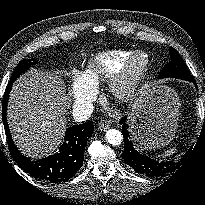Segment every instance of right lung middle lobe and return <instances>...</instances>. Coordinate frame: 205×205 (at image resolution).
<instances>
[{
  "instance_id": "obj_1",
  "label": "right lung middle lobe",
  "mask_w": 205,
  "mask_h": 205,
  "mask_svg": "<svg viewBox=\"0 0 205 205\" xmlns=\"http://www.w3.org/2000/svg\"><path fill=\"white\" fill-rule=\"evenodd\" d=\"M34 64H36V62L33 60H24V61L20 62L16 66L9 83H13L22 73H24L27 69L30 68V66H32Z\"/></svg>"
}]
</instances>
